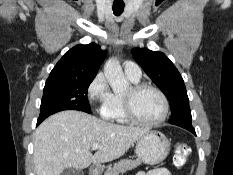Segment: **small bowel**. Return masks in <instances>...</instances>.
Masks as SVG:
<instances>
[{
  "mask_svg": "<svg viewBox=\"0 0 233 175\" xmlns=\"http://www.w3.org/2000/svg\"><path fill=\"white\" fill-rule=\"evenodd\" d=\"M135 175H171L167 168L160 167L149 171H139Z\"/></svg>",
  "mask_w": 233,
  "mask_h": 175,
  "instance_id": "obj_1",
  "label": "small bowel"
}]
</instances>
